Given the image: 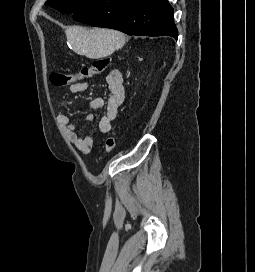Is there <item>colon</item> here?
<instances>
[{
  "label": "colon",
  "instance_id": "colon-1",
  "mask_svg": "<svg viewBox=\"0 0 255 272\" xmlns=\"http://www.w3.org/2000/svg\"><path fill=\"white\" fill-rule=\"evenodd\" d=\"M109 58L101 57L95 59L90 66H85L81 68L76 73H63V72H53L50 75V79L53 84L59 86H67L70 84L77 83L79 81L86 80L93 77L96 74L103 72L109 65ZM116 146V138L114 135L108 136L105 140L104 152L105 154H111Z\"/></svg>",
  "mask_w": 255,
  "mask_h": 272
}]
</instances>
